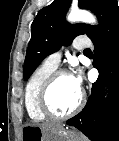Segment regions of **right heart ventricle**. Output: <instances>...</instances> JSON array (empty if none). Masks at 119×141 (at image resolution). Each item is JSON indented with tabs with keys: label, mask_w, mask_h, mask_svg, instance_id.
I'll list each match as a JSON object with an SVG mask.
<instances>
[{
	"label": "right heart ventricle",
	"mask_w": 119,
	"mask_h": 141,
	"mask_svg": "<svg viewBox=\"0 0 119 141\" xmlns=\"http://www.w3.org/2000/svg\"><path fill=\"white\" fill-rule=\"evenodd\" d=\"M55 70V67L44 62L32 73L26 84L24 104L29 117L33 120L43 121L46 119V116L39 109L38 94L44 81Z\"/></svg>",
	"instance_id": "right-heart-ventricle-1"
}]
</instances>
